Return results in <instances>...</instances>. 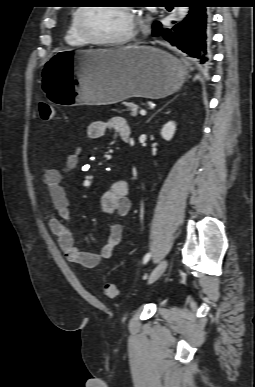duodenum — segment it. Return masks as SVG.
<instances>
[{
  "label": "duodenum",
  "mask_w": 255,
  "mask_h": 387,
  "mask_svg": "<svg viewBox=\"0 0 255 387\" xmlns=\"http://www.w3.org/2000/svg\"><path fill=\"white\" fill-rule=\"evenodd\" d=\"M121 139L125 142H128L130 139V136L128 134H122Z\"/></svg>",
  "instance_id": "obj_1"
}]
</instances>
